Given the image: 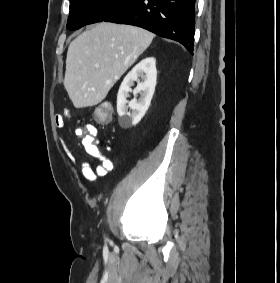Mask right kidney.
<instances>
[{"instance_id": "obj_1", "label": "right kidney", "mask_w": 280, "mask_h": 283, "mask_svg": "<svg viewBox=\"0 0 280 283\" xmlns=\"http://www.w3.org/2000/svg\"><path fill=\"white\" fill-rule=\"evenodd\" d=\"M156 80V61L153 57L143 59L126 75L117 95V112L121 127L129 128L141 121L150 106ZM134 81L137 82V87L133 90V94L136 96L140 93L141 97L139 100L134 98L128 102L127 97L129 92H132L131 86L134 85ZM129 108L132 112L128 111Z\"/></svg>"}]
</instances>
